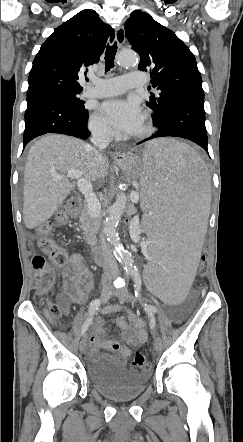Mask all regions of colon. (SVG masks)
<instances>
[{
    "label": "colon",
    "instance_id": "colon-1",
    "mask_svg": "<svg viewBox=\"0 0 243 442\" xmlns=\"http://www.w3.org/2000/svg\"><path fill=\"white\" fill-rule=\"evenodd\" d=\"M68 208L64 211L59 212L55 218V223L59 226H64L68 222ZM121 224L124 225L125 229L130 230L133 227L132 217L131 216H122ZM39 236V248L46 254L50 256L52 262L56 266H65L67 264V254L66 252L59 247L53 236L52 231L49 224H43L38 229ZM210 260L209 255H202L198 265H197V276L204 274L205 268ZM32 265L35 271L36 277V290L39 295L47 293L54 285L56 280L55 270L52 266H50L45 258L41 255H34L32 258ZM65 312L59 306L55 304H48L47 307V315L48 317L56 322L61 323L62 318ZM133 365L134 367L143 370L149 371L152 367L150 356H145L141 352H135L133 355Z\"/></svg>",
    "mask_w": 243,
    "mask_h": 442
}]
</instances>
